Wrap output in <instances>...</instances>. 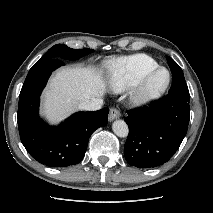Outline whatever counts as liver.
Wrapping results in <instances>:
<instances>
[{
  "instance_id": "1",
  "label": "liver",
  "mask_w": 213,
  "mask_h": 213,
  "mask_svg": "<svg viewBox=\"0 0 213 213\" xmlns=\"http://www.w3.org/2000/svg\"><path fill=\"white\" fill-rule=\"evenodd\" d=\"M102 70L62 68L50 79L43 94L42 113L50 123L65 119L80 104L100 98L107 91Z\"/></svg>"
}]
</instances>
